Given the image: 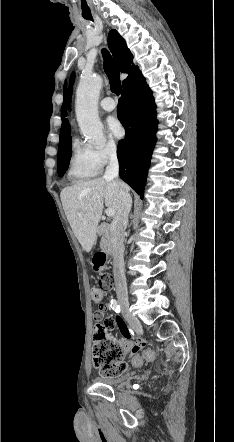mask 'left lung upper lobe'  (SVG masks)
Masks as SVG:
<instances>
[{"label": "left lung upper lobe", "instance_id": "1", "mask_svg": "<svg viewBox=\"0 0 234 442\" xmlns=\"http://www.w3.org/2000/svg\"><path fill=\"white\" fill-rule=\"evenodd\" d=\"M73 81H74V74H72L71 78H70V88H69L70 95H71ZM68 106H69V109H70V100H69Z\"/></svg>", "mask_w": 234, "mask_h": 442}]
</instances>
